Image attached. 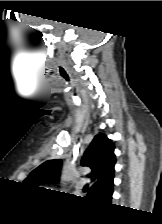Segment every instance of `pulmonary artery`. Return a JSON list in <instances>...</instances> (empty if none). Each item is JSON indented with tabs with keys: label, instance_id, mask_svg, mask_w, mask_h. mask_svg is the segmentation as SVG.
Listing matches in <instances>:
<instances>
[{
	"label": "pulmonary artery",
	"instance_id": "obj_1",
	"mask_svg": "<svg viewBox=\"0 0 162 224\" xmlns=\"http://www.w3.org/2000/svg\"><path fill=\"white\" fill-rule=\"evenodd\" d=\"M77 189L79 190L80 189V186H77Z\"/></svg>",
	"mask_w": 162,
	"mask_h": 224
}]
</instances>
